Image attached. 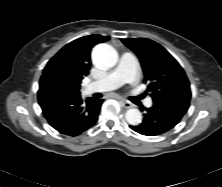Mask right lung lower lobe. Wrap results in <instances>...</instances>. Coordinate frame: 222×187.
<instances>
[{"mask_svg": "<svg viewBox=\"0 0 222 187\" xmlns=\"http://www.w3.org/2000/svg\"><path fill=\"white\" fill-rule=\"evenodd\" d=\"M38 101L49 124L70 136H77L93 126L103 103L96 98L83 100L79 92L68 89L56 76L40 80Z\"/></svg>", "mask_w": 222, "mask_h": 187, "instance_id": "obj_1", "label": "right lung lower lobe"}]
</instances>
